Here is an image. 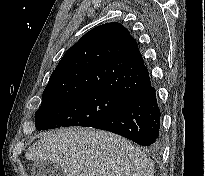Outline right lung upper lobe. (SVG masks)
<instances>
[{"label":"right lung upper lobe","mask_w":205,"mask_h":176,"mask_svg":"<svg viewBox=\"0 0 205 176\" xmlns=\"http://www.w3.org/2000/svg\"><path fill=\"white\" fill-rule=\"evenodd\" d=\"M150 84L136 41L113 22L90 30L64 54L43 96L98 89L127 97Z\"/></svg>","instance_id":"right-lung-upper-lobe-1"}]
</instances>
